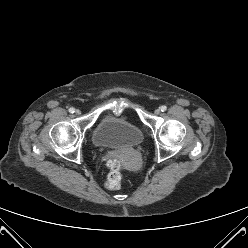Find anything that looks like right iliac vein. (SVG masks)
Segmentation results:
<instances>
[{
	"label": "right iliac vein",
	"instance_id": "63e3f726",
	"mask_svg": "<svg viewBox=\"0 0 248 248\" xmlns=\"http://www.w3.org/2000/svg\"><path fill=\"white\" fill-rule=\"evenodd\" d=\"M75 114H76V115H80V114H81V111H80L79 109H76V110H75Z\"/></svg>",
	"mask_w": 248,
	"mask_h": 248
}]
</instances>
